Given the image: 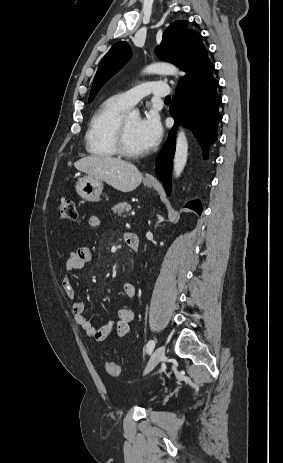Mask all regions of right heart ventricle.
<instances>
[{"label": "right heart ventricle", "instance_id": "e07e8e85", "mask_svg": "<svg viewBox=\"0 0 283 463\" xmlns=\"http://www.w3.org/2000/svg\"><path fill=\"white\" fill-rule=\"evenodd\" d=\"M127 108L118 96L110 97L100 104L91 117L85 136L88 153L105 158L117 155L116 129Z\"/></svg>", "mask_w": 283, "mask_h": 463}]
</instances>
